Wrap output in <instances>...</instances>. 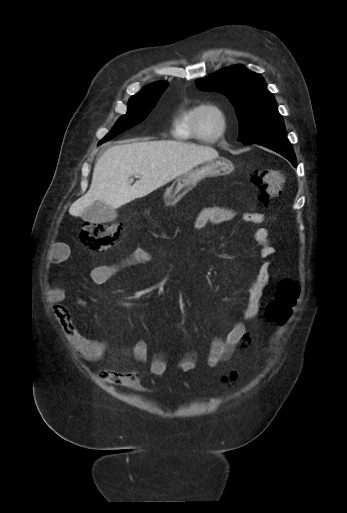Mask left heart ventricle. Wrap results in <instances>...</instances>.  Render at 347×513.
I'll return each mask as SVG.
<instances>
[{
  "instance_id": "left-heart-ventricle-1",
  "label": "left heart ventricle",
  "mask_w": 347,
  "mask_h": 513,
  "mask_svg": "<svg viewBox=\"0 0 347 513\" xmlns=\"http://www.w3.org/2000/svg\"><path fill=\"white\" fill-rule=\"evenodd\" d=\"M221 127L219 116L213 111H204L199 117L200 132L204 137L215 135Z\"/></svg>"
}]
</instances>
